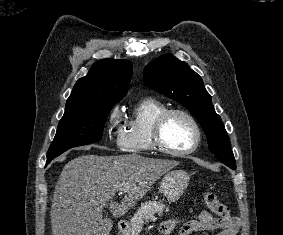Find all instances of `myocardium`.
<instances>
[{"label":"myocardium","mask_w":283,"mask_h":235,"mask_svg":"<svg viewBox=\"0 0 283 235\" xmlns=\"http://www.w3.org/2000/svg\"><path fill=\"white\" fill-rule=\"evenodd\" d=\"M175 114L182 115L185 118H187L190 121V123L193 125L194 130H195V134H196L195 141L192 144V146H190L189 148L185 150H173L169 148L164 143V140L162 137V131H163L165 122L172 115H175ZM151 137H152V143L158 151L164 154H167V155H171V156H185L197 150L202 140V131H201V127L197 119L190 112L184 109H180V108H171V109H167L166 111H164L157 117V119L155 120L153 124Z\"/></svg>","instance_id":"1"}]
</instances>
